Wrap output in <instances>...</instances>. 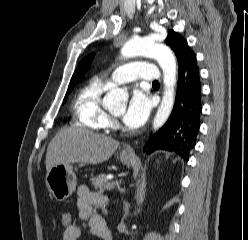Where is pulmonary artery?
<instances>
[{
	"label": "pulmonary artery",
	"mask_w": 248,
	"mask_h": 240,
	"mask_svg": "<svg viewBox=\"0 0 248 240\" xmlns=\"http://www.w3.org/2000/svg\"><path fill=\"white\" fill-rule=\"evenodd\" d=\"M160 73L155 65L132 61L115 68L109 75L108 81L114 83H128L135 80L159 81Z\"/></svg>",
	"instance_id": "obj_1"
}]
</instances>
